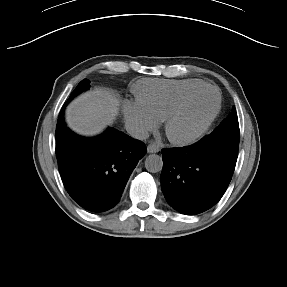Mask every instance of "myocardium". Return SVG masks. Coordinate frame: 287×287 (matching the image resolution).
<instances>
[{
    "label": "myocardium",
    "instance_id": "obj_1",
    "mask_svg": "<svg viewBox=\"0 0 287 287\" xmlns=\"http://www.w3.org/2000/svg\"><path fill=\"white\" fill-rule=\"evenodd\" d=\"M202 90H210L215 95V105L206 119V121L202 124V126L195 131L193 134L185 136V137H176L172 134V126L174 122L177 120V118L180 116L182 111L184 110L185 106L187 105L188 101L198 92ZM221 109V95L219 91L212 85L209 84H203L200 86H197L188 92H186L174 105V107L171 109L167 117L165 118L164 123V130L165 135L168 138V140L177 146H188L191 145L198 140H200L209 130L213 122L215 121L216 117L218 116Z\"/></svg>",
    "mask_w": 287,
    "mask_h": 287
}]
</instances>
